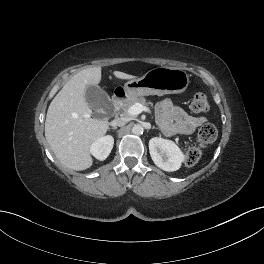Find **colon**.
<instances>
[{
	"label": "colon",
	"instance_id": "5ec220e1",
	"mask_svg": "<svg viewBox=\"0 0 264 264\" xmlns=\"http://www.w3.org/2000/svg\"><path fill=\"white\" fill-rule=\"evenodd\" d=\"M190 109L194 113H203L208 111L209 102L205 93L197 91L193 94ZM217 138V129L212 124H204L198 131V141L200 146H204L214 142ZM201 155L199 147H193L189 149L186 153V165L193 166L195 165Z\"/></svg>",
	"mask_w": 264,
	"mask_h": 264
}]
</instances>
